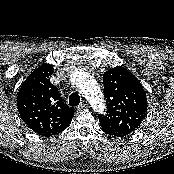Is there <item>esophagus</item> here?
<instances>
[{"instance_id": "obj_1", "label": "esophagus", "mask_w": 174, "mask_h": 174, "mask_svg": "<svg viewBox=\"0 0 174 174\" xmlns=\"http://www.w3.org/2000/svg\"><path fill=\"white\" fill-rule=\"evenodd\" d=\"M87 106V102L86 101H82L81 103H80V105L78 106V108L79 109H83V108H85Z\"/></svg>"}]
</instances>
